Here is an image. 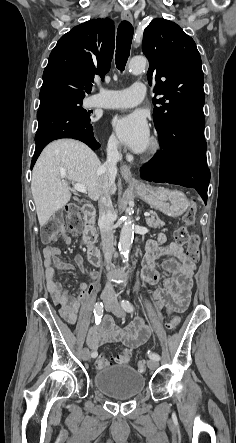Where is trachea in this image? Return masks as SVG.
<instances>
[{
	"mask_svg": "<svg viewBox=\"0 0 236 443\" xmlns=\"http://www.w3.org/2000/svg\"><path fill=\"white\" fill-rule=\"evenodd\" d=\"M133 26L128 21H122L117 30L116 66L122 72L127 63L133 37Z\"/></svg>",
	"mask_w": 236,
	"mask_h": 443,
	"instance_id": "trachea-1",
	"label": "trachea"
}]
</instances>
